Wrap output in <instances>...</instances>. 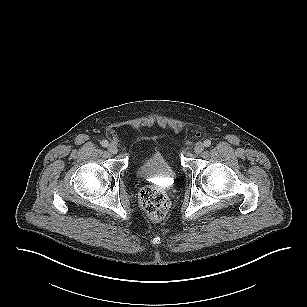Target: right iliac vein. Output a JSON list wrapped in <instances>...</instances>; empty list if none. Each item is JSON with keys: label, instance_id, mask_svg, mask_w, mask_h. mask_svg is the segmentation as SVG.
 Masks as SVG:
<instances>
[{"label": "right iliac vein", "instance_id": "63e3f726", "mask_svg": "<svg viewBox=\"0 0 307 307\" xmlns=\"http://www.w3.org/2000/svg\"><path fill=\"white\" fill-rule=\"evenodd\" d=\"M108 151L111 153V154H116L118 152V148L115 144L111 143L109 146H108Z\"/></svg>", "mask_w": 307, "mask_h": 307}]
</instances>
